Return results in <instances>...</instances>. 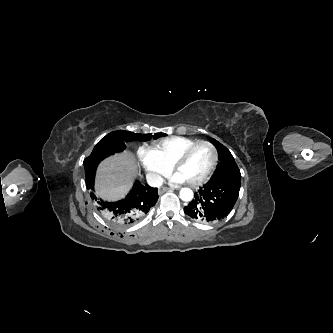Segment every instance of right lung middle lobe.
Returning a JSON list of instances; mask_svg holds the SVG:
<instances>
[{
  "mask_svg": "<svg viewBox=\"0 0 333 333\" xmlns=\"http://www.w3.org/2000/svg\"><path fill=\"white\" fill-rule=\"evenodd\" d=\"M166 136L164 133H156L154 138ZM151 134H135L128 131H114L102 138L94 147L91 157L100 155L109 156L126 148L125 143L136 139H149Z\"/></svg>",
  "mask_w": 333,
  "mask_h": 333,
  "instance_id": "obj_1",
  "label": "right lung middle lobe"
}]
</instances>
